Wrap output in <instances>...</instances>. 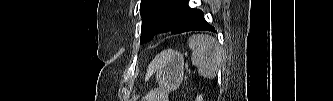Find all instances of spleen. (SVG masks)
Instances as JSON below:
<instances>
[{
  "label": "spleen",
  "instance_id": "1",
  "mask_svg": "<svg viewBox=\"0 0 333 101\" xmlns=\"http://www.w3.org/2000/svg\"><path fill=\"white\" fill-rule=\"evenodd\" d=\"M189 48L192 50V64L198 67L199 75L209 79L215 77L224 56L217 40L209 35H192Z\"/></svg>",
  "mask_w": 333,
  "mask_h": 101
}]
</instances>
